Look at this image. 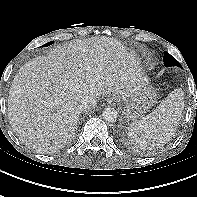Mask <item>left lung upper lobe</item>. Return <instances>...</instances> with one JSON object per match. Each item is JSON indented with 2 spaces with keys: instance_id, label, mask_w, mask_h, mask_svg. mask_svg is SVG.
<instances>
[{
  "instance_id": "left-lung-upper-lobe-1",
  "label": "left lung upper lobe",
  "mask_w": 197,
  "mask_h": 197,
  "mask_svg": "<svg viewBox=\"0 0 197 197\" xmlns=\"http://www.w3.org/2000/svg\"><path fill=\"white\" fill-rule=\"evenodd\" d=\"M163 62H164V65L166 67H170V66H179V67H182L180 65V63L173 57L171 56L169 53H165L164 56H163Z\"/></svg>"
}]
</instances>
